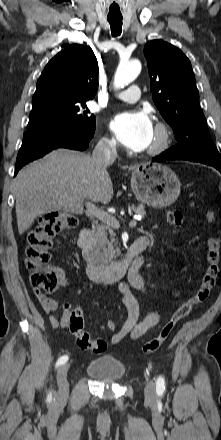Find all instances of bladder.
Instances as JSON below:
<instances>
[{"mask_svg": "<svg viewBox=\"0 0 221 440\" xmlns=\"http://www.w3.org/2000/svg\"><path fill=\"white\" fill-rule=\"evenodd\" d=\"M86 372L98 381L116 382L126 373L124 363L113 356H100L92 359L86 366Z\"/></svg>", "mask_w": 221, "mask_h": 440, "instance_id": "obj_1", "label": "bladder"}]
</instances>
